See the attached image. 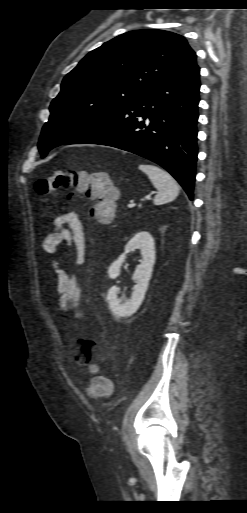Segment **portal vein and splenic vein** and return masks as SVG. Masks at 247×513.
Returning a JSON list of instances; mask_svg holds the SVG:
<instances>
[{
	"label": "portal vein and splenic vein",
	"mask_w": 247,
	"mask_h": 513,
	"mask_svg": "<svg viewBox=\"0 0 247 513\" xmlns=\"http://www.w3.org/2000/svg\"><path fill=\"white\" fill-rule=\"evenodd\" d=\"M135 206V204H128V208L132 209Z\"/></svg>",
	"instance_id": "1"
}]
</instances>
